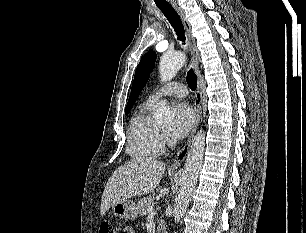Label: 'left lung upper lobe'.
<instances>
[{"mask_svg": "<svg viewBox=\"0 0 306 233\" xmlns=\"http://www.w3.org/2000/svg\"><path fill=\"white\" fill-rule=\"evenodd\" d=\"M156 60V53L153 51L148 52L143 56L140 63L137 66L134 81L132 84V89L128 103L126 105L125 114L127 115L136 99L138 98L140 92L145 86L147 80L149 79L150 73L153 70Z\"/></svg>", "mask_w": 306, "mask_h": 233, "instance_id": "5c2ea615", "label": "left lung upper lobe"}]
</instances>
